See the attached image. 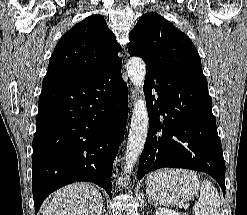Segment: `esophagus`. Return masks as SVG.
Masks as SVG:
<instances>
[{"label": "esophagus", "mask_w": 247, "mask_h": 215, "mask_svg": "<svg viewBox=\"0 0 247 215\" xmlns=\"http://www.w3.org/2000/svg\"><path fill=\"white\" fill-rule=\"evenodd\" d=\"M131 92H132V96H134L135 90L134 89H131Z\"/></svg>", "instance_id": "esophagus-1"}]
</instances>
